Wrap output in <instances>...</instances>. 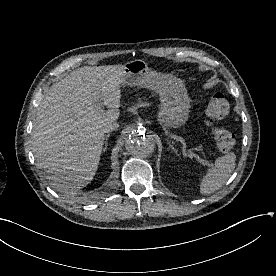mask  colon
Returning a JSON list of instances; mask_svg holds the SVG:
<instances>
[{"instance_id": "obj_1", "label": "colon", "mask_w": 276, "mask_h": 276, "mask_svg": "<svg viewBox=\"0 0 276 276\" xmlns=\"http://www.w3.org/2000/svg\"><path fill=\"white\" fill-rule=\"evenodd\" d=\"M230 110V104L226 97L221 93L214 94L206 107V122L212 128L215 143L219 151L229 152L235 146L236 139L232 132L222 127L216 126V123L224 119Z\"/></svg>"}]
</instances>
